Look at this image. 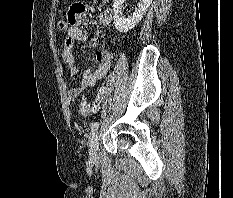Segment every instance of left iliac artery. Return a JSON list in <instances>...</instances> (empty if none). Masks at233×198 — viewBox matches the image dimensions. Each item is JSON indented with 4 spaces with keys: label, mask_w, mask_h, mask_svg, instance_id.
Wrapping results in <instances>:
<instances>
[{
    "label": "left iliac artery",
    "mask_w": 233,
    "mask_h": 198,
    "mask_svg": "<svg viewBox=\"0 0 233 198\" xmlns=\"http://www.w3.org/2000/svg\"><path fill=\"white\" fill-rule=\"evenodd\" d=\"M103 89H104V87L101 90L103 91ZM98 127H99V122H93L91 124V132L94 133V131H96L98 129Z\"/></svg>",
    "instance_id": "44dca946"
}]
</instances>
